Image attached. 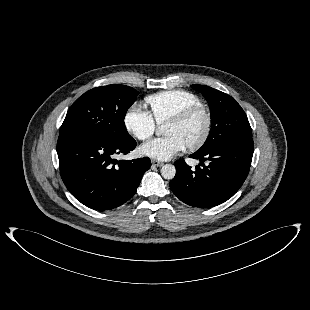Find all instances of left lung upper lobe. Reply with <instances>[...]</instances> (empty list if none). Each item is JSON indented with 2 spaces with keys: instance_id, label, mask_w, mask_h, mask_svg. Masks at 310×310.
Listing matches in <instances>:
<instances>
[{
  "instance_id": "5c2ea615",
  "label": "left lung upper lobe",
  "mask_w": 310,
  "mask_h": 310,
  "mask_svg": "<svg viewBox=\"0 0 310 310\" xmlns=\"http://www.w3.org/2000/svg\"><path fill=\"white\" fill-rule=\"evenodd\" d=\"M206 98L211 112V130L197 152H205L222 144L252 138L248 118L234 98L205 85H191Z\"/></svg>"
}]
</instances>
